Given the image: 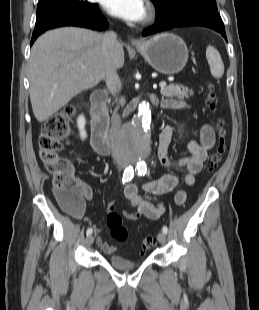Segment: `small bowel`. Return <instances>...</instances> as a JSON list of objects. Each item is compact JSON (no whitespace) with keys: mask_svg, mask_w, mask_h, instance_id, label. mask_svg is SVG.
Wrapping results in <instances>:
<instances>
[{"mask_svg":"<svg viewBox=\"0 0 259 310\" xmlns=\"http://www.w3.org/2000/svg\"><path fill=\"white\" fill-rule=\"evenodd\" d=\"M165 108H186L189 107L185 102L175 99H167L162 103ZM173 128L166 127L160 134L158 145V157L163 166L170 171L165 176L145 182L142 187L145 194L138 191L135 183H127L124 187V195L128 200L132 210L125 211L124 216L128 220H138L145 217L150 220H157L163 214L165 207L162 203H155L152 195L166 194L173 191L183 181L187 186L195 184V176L202 170L207 157V152L216 141L214 129L209 124H204L200 131V141L189 140L186 144L189 155L181 158H174L168 154V147L172 140ZM81 187L85 197L90 199L92 192L90 187L82 183ZM186 201V193L178 190L174 196L176 205H183ZM108 212L115 210L114 202H110L107 207ZM97 246L108 255L117 251L116 246L108 243L101 235L99 228L94 229Z\"/></svg>","mask_w":259,"mask_h":310,"instance_id":"obj_1","label":"small bowel"}]
</instances>
